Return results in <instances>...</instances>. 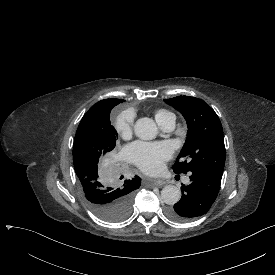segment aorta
Here are the masks:
<instances>
[{
	"instance_id": "aorta-1",
	"label": "aorta",
	"mask_w": 275,
	"mask_h": 275,
	"mask_svg": "<svg viewBox=\"0 0 275 275\" xmlns=\"http://www.w3.org/2000/svg\"><path fill=\"white\" fill-rule=\"evenodd\" d=\"M135 134L143 140L155 139L160 133L156 123L150 118H141L135 124ZM161 198L167 204H175L181 198V190L174 185H166L161 191Z\"/></svg>"
}]
</instances>
